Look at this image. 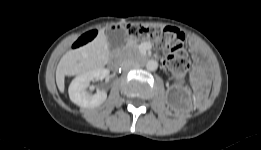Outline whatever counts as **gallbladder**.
Returning <instances> with one entry per match:
<instances>
[{
    "instance_id": "bac80fb5",
    "label": "gallbladder",
    "mask_w": 261,
    "mask_h": 150,
    "mask_svg": "<svg viewBox=\"0 0 261 150\" xmlns=\"http://www.w3.org/2000/svg\"><path fill=\"white\" fill-rule=\"evenodd\" d=\"M105 35L108 41L109 49L111 51L118 47H122L125 44V36L121 31L107 29Z\"/></svg>"
}]
</instances>
